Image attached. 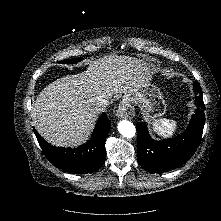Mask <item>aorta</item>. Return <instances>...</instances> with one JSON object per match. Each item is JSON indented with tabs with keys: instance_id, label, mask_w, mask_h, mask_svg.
<instances>
[{
	"instance_id": "obj_1",
	"label": "aorta",
	"mask_w": 221,
	"mask_h": 221,
	"mask_svg": "<svg viewBox=\"0 0 221 221\" xmlns=\"http://www.w3.org/2000/svg\"><path fill=\"white\" fill-rule=\"evenodd\" d=\"M118 131L122 136L132 138L135 136L136 128L132 122L122 120L118 123Z\"/></svg>"
}]
</instances>
